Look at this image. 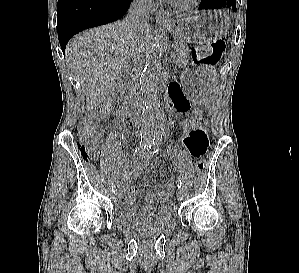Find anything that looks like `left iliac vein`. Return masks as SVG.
<instances>
[{"label":"left iliac vein","instance_id":"4c4485c4","mask_svg":"<svg viewBox=\"0 0 299 273\" xmlns=\"http://www.w3.org/2000/svg\"><path fill=\"white\" fill-rule=\"evenodd\" d=\"M176 196H177L178 200H182L184 198L183 190L178 189L176 192Z\"/></svg>","mask_w":299,"mask_h":273}]
</instances>
